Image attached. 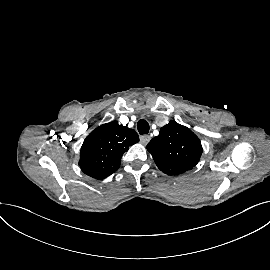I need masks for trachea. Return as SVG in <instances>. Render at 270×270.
Segmentation results:
<instances>
[{
    "instance_id": "trachea-1",
    "label": "trachea",
    "mask_w": 270,
    "mask_h": 270,
    "mask_svg": "<svg viewBox=\"0 0 270 270\" xmlns=\"http://www.w3.org/2000/svg\"><path fill=\"white\" fill-rule=\"evenodd\" d=\"M137 128L140 134H147L149 132V124L144 119L138 121Z\"/></svg>"
}]
</instances>
